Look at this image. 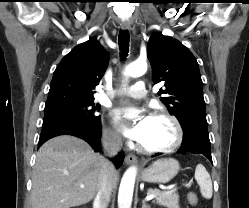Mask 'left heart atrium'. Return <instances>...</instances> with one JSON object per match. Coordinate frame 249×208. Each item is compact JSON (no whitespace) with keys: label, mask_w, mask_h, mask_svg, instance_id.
<instances>
[{"label":"left heart atrium","mask_w":249,"mask_h":208,"mask_svg":"<svg viewBox=\"0 0 249 208\" xmlns=\"http://www.w3.org/2000/svg\"><path fill=\"white\" fill-rule=\"evenodd\" d=\"M113 119L121 133L130 140L141 143L146 136L150 124V115H142L137 121L130 122L126 118L125 109H116Z\"/></svg>","instance_id":"1"}]
</instances>
